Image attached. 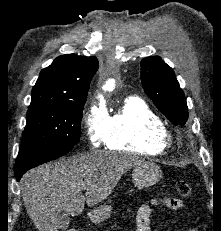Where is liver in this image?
Masks as SVG:
<instances>
[{"mask_svg":"<svg viewBox=\"0 0 221 231\" xmlns=\"http://www.w3.org/2000/svg\"><path fill=\"white\" fill-rule=\"evenodd\" d=\"M143 161L130 154L93 151L34 168L21 179L27 212L39 231H58L61 212L78 216L85 202L89 207L102 202L121 176Z\"/></svg>","mask_w":221,"mask_h":231,"instance_id":"liver-1","label":"liver"}]
</instances>
